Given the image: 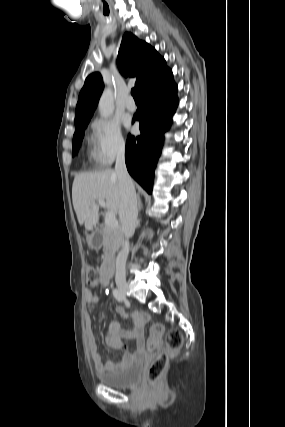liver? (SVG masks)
Wrapping results in <instances>:
<instances>
[{"label": "liver", "instance_id": "1", "mask_svg": "<svg viewBox=\"0 0 285 427\" xmlns=\"http://www.w3.org/2000/svg\"><path fill=\"white\" fill-rule=\"evenodd\" d=\"M106 201V208L119 213L120 189L117 174L108 169L85 172L75 176L72 185V201L79 224L92 230L99 221L98 199Z\"/></svg>", "mask_w": 285, "mask_h": 427}]
</instances>
